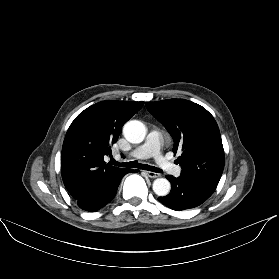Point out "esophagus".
I'll return each instance as SVG.
<instances>
[{
	"mask_svg": "<svg viewBox=\"0 0 279 279\" xmlns=\"http://www.w3.org/2000/svg\"><path fill=\"white\" fill-rule=\"evenodd\" d=\"M147 176H149L150 178H158L160 177L159 173L156 172H152V171H146Z\"/></svg>",
	"mask_w": 279,
	"mask_h": 279,
	"instance_id": "esophagus-1",
	"label": "esophagus"
}]
</instances>
